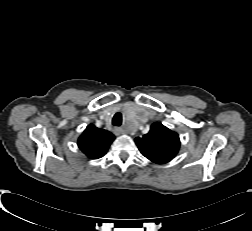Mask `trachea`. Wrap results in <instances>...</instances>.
<instances>
[{"label": "trachea", "mask_w": 252, "mask_h": 231, "mask_svg": "<svg viewBox=\"0 0 252 231\" xmlns=\"http://www.w3.org/2000/svg\"><path fill=\"white\" fill-rule=\"evenodd\" d=\"M122 123V114L121 113H116L112 119V124L114 126H120Z\"/></svg>", "instance_id": "obj_1"}]
</instances>
